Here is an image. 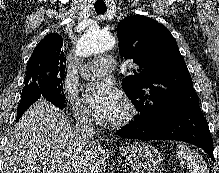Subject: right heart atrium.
Wrapping results in <instances>:
<instances>
[{
	"label": "right heart atrium",
	"instance_id": "obj_1",
	"mask_svg": "<svg viewBox=\"0 0 219 173\" xmlns=\"http://www.w3.org/2000/svg\"><path fill=\"white\" fill-rule=\"evenodd\" d=\"M65 100L78 121L92 123L95 120L93 112L74 91L70 89L67 90L65 93Z\"/></svg>",
	"mask_w": 219,
	"mask_h": 173
}]
</instances>
